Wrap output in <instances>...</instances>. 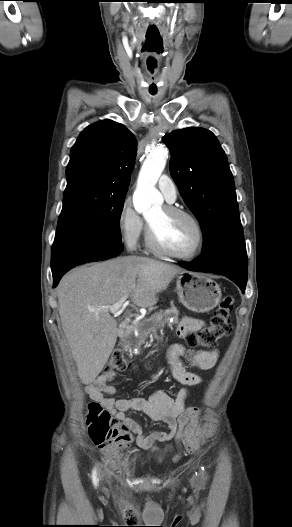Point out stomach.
Masks as SVG:
<instances>
[{
    "label": "stomach",
    "mask_w": 292,
    "mask_h": 527,
    "mask_svg": "<svg viewBox=\"0 0 292 527\" xmlns=\"http://www.w3.org/2000/svg\"><path fill=\"white\" fill-rule=\"evenodd\" d=\"M179 301L189 310L205 313L214 309L220 299L221 290L211 278L192 272L179 273L176 281Z\"/></svg>",
    "instance_id": "1"
}]
</instances>
